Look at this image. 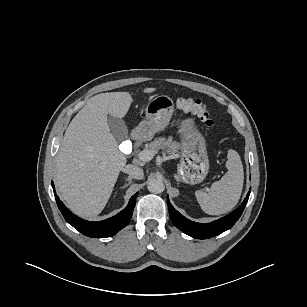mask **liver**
<instances>
[{
    "label": "liver",
    "mask_w": 307,
    "mask_h": 307,
    "mask_svg": "<svg viewBox=\"0 0 307 307\" xmlns=\"http://www.w3.org/2000/svg\"><path fill=\"white\" fill-rule=\"evenodd\" d=\"M155 90L146 88L143 92ZM131 103L128 92L95 95L65 131L56 156L55 184L62 199L79 216L101 213L126 165V157L110 132L108 115L122 119Z\"/></svg>",
    "instance_id": "liver-1"
}]
</instances>
